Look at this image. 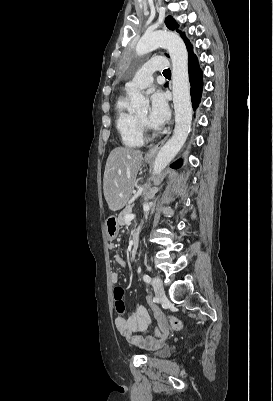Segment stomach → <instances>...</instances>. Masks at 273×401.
<instances>
[{"mask_svg": "<svg viewBox=\"0 0 273 401\" xmlns=\"http://www.w3.org/2000/svg\"><path fill=\"white\" fill-rule=\"evenodd\" d=\"M144 160L145 162H151L152 158H149V156H146L145 154ZM105 227L108 241H113V239H116L119 233V225L118 219L115 217V215H112V217H108V219H106Z\"/></svg>", "mask_w": 273, "mask_h": 401, "instance_id": "0dacf381", "label": "stomach"}]
</instances>
